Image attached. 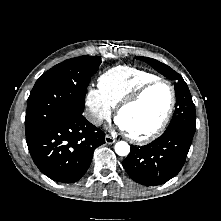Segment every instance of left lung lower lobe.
<instances>
[{
    "label": "left lung lower lobe",
    "instance_id": "obj_1",
    "mask_svg": "<svg viewBox=\"0 0 221 221\" xmlns=\"http://www.w3.org/2000/svg\"><path fill=\"white\" fill-rule=\"evenodd\" d=\"M195 132L177 129L165 131L145 146H131L122 162L128 175L147 186L163 184L182 169Z\"/></svg>",
    "mask_w": 221,
    "mask_h": 221
}]
</instances>
